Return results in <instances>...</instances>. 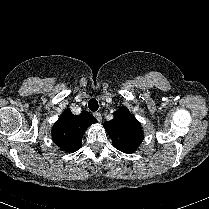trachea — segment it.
Segmentation results:
<instances>
[{
  "label": "trachea",
  "mask_w": 209,
  "mask_h": 209,
  "mask_svg": "<svg viewBox=\"0 0 209 209\" xmlns=\"http://www.w3.org/2000/svg\"><path fill=\"white\" fill-rule=\"evenodd\" d=\"M88 107L93 112L97 111L99 108L97 100L95 98L90 99L88 102Z\"/></svg>",
  "instance_id": "3493384b"
}]
</instances>
